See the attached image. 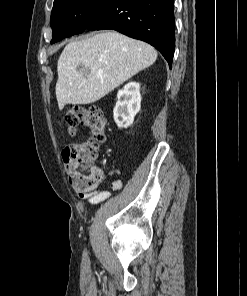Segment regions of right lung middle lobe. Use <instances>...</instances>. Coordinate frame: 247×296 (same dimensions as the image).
I'll list each match as a JSON object with an SVG mask.
<instances>
[{
    "instance_id": "1",
    "label": "right lung middle lobe",
    "mask_w": 247,
    "mask_h": 296,
    "mask_svg": "<svg viewBox=\"0 0 247 296\" xmlns=\"http://www.w3.org/2000/svg\"><path fill=\"white\" fill-rule=\"evenodd\" d=\"M105 0H54L50 24L51 43L83 32L95 8Z\"/></svg>"
}]
</instances>
